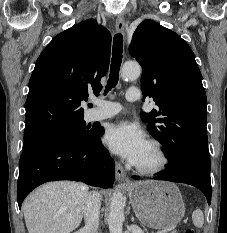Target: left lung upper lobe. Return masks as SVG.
Listing matches in <instances>:
<instances>
[{
	"label": "left lung upper lobe",
	"instance_id": "1",
	"mask_svg": "<svg viewBox=\"0 0 227 233\" xmlns=\"http://www.w3.org/2000/svg\"><path fill=\"white\" fill-rule=\"evenodd\" d=\"M129 52L142 66L144 97L158 106L141 117L163 145L168 167L185 159L210 167L207 98L189 45L175 32L145 20L135 30Z\"/></svg>",
	"mask_w": 227,
	"mask_h": 233
}]
</instances>
